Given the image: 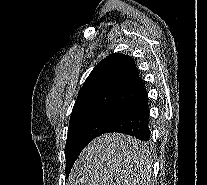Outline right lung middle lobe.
<instances>
[{
  "instance_id": "obj_1",
  "label": "right lung middle lobe",
  "mask_w": 207,
  "mask_h": 185,
  "mask_svg": "<svg viewBox=\"0 0 207 185\" xmlns=\"http://www.w3.org/2000/svg\"><path fill=\"white\" fill-rule=\"evenodd\" d=\"M122 110L110 107H96L71 115L65 147L66 175L83 148L120 116Z\"/></svg>"
}]
</instances>
